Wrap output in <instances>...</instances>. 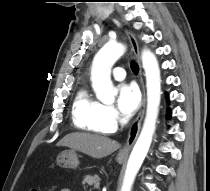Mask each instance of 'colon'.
Instances as JSON below:
<instances>
[{"label":"colon","mask_w":210,"mask_h":191,"mask_svg":"<svg viewBox=\"0 0 210 191\" xmlns=\"http://www.w3.org/2000/svg\"><path fill=\"white\" fill-rule=\"evenodd\" d=\"M30 191H40V190H38V189H32V190H30Z\"/></svg>","instance_id":"colon-1"}]
</instances>
